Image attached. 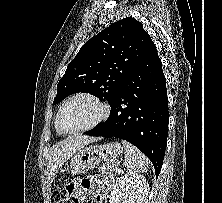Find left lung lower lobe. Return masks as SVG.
Wrapping results in <instances>:
<instances>
[{"mask_svg": "<svg viewBox=\"0 0 222 203\" xmlns=\"http://www.w3.org/2000/svg\"><path fill=\"white\" fill-rule=\"evenodd\" d=\"M110 107L108 119L84 134L132 143L150 159L158 176L167 142L168 99L162 63L152 40Z\"/></svg>", "mask_w": 222, "mask_h": 203, "instance_id": "obj_1", "label": "left lung lower lobe"}]
</instances>
